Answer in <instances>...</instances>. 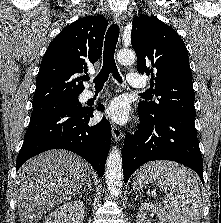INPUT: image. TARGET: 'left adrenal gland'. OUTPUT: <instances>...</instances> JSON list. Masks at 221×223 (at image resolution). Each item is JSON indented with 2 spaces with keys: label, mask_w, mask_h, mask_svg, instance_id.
<instances>
[{
  "label": "left adrenal gland",
  "mask_w": 221,
  "mask_h": 223,
  "mask_svg": "<svg viewBox=\"0 0 221 223\" xmlns=\"http://www.w3.org/2000/svg\"><path fill=\"white\" fill-rule=\"evenodd\" d=\"M137 198H139V196H138V194L136 193V197H135V199H137Z\"/></svg>",
  "instance_id": "1"
}]
</instances>
